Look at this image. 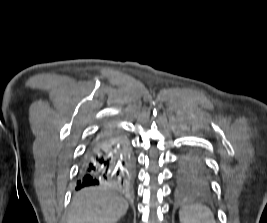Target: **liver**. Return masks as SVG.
<instances>
[{"instance_id": "liver-1", "label": "liver", "mask_w": 267, "mask_h": 223, "mask_svg": "<svg viewBox=\"0 0 267 223\" xmlns=\"http://www.w3.org/2000/svg\"><path fill=\"white\" fill-rule=\"evenodd\" d=\"M128 210V203L105 188H85L71 204L68 223H116Z\"/></svg>"}]
</instances>
